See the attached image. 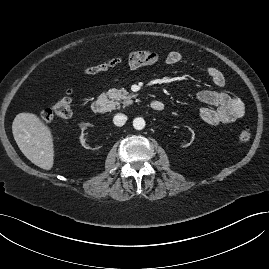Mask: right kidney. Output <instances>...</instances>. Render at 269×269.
Returning <instances> with one entry per match:
<instances>
[{
	"mask_svg": "<svg viewBox=\"0 0 269 269\" xmlns=\"http://www.w3.org/2000/svg\"><path fill=\"white\" fill-rule=\"evenodd\" d=\"M81 130H82V134L80 136V141H81V144L84 146V148L86 149H90V150H101L103 149L104 147V144L103 142L101 141H89V140H86L85 141V138H84V130L87 129V127L90 126L89 123H80L79 124Z\"/></svg>",
	"mask_w": 269,
	"mask_h": 269,
	"instance_id": "ca27d5eb",
	"label": "right kidney"
}]
</instances>
